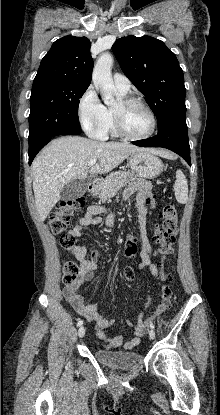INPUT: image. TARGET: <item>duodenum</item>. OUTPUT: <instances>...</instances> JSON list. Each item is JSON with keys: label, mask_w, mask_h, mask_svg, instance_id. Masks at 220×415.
<instances>
[{"label": "duodenum", "mask_w": 220, "mask_h": 415, "mask_svg": "<svg viewBox=\"0 0 220 415\" xmlns=\"http://www.w3.org/2000/svg\"><path fill=\"white\" fill-rule=\"evenodd\" d=\"M96 190V182L94 180H90L88 182V191L89 193H93Z\"/></svg>", "instance_id": "obj_1"}]
</instances>
